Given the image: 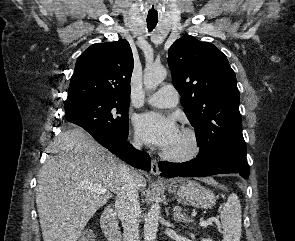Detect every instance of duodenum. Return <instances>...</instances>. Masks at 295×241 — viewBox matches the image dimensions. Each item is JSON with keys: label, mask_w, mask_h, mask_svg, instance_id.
<instances>
[{"label": "duodenum", "mask_w": 295, "mask_h": 241, "mask_svg": "<svg viewBox=\"0 0 295 241\" xmlns=\"http://www.w3.org/2000/svg\"><path fill=\"white\" fill-rule=\"evenodd\" d=\"M101 224L108 241H123L114 208L108 207L105 209L101 218Z\"/></svg>", "instance_id": "duodenum-1"}]
</instances>
